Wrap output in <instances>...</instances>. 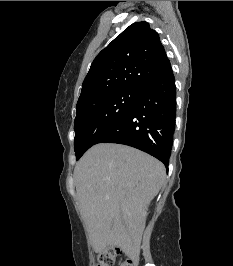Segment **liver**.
Instances as JSON below:
<instances>
[{"instance_id": "1", "label": "liver", "mask_w": 233, "mask_h": 266, "mask_svg": "<svg viewBox=\"0 0 233 266\" xmlns=\"http://www.w3.org/2000/svg\"><path fill=\"white\" fill-rule=\"evenodd\" d=\"M74 174L94 250L113 246L132 255L144 229L142 211L163 185L164 165L133 147L101 143L83 155Z\"/></svg>"}]
</instances>
